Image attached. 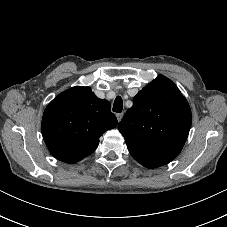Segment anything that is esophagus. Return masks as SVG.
Masks as SVG:
<instances>
[{"label": "esophagus", "instance_id": "34e87169", "mask_svg": "<svg viewBox=\"0 0 227 227\" xmlns=\"http://www.w3.org/2000/svg\"><path fill=\"white\" fill-rule=\"evenodd\" d=\"M116 117H117L118 122H120L123 117V113H117Z\"/></svg>", "mask_w": 227, "mask_h": 227}]
</instances>
